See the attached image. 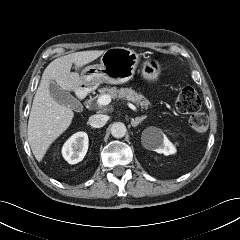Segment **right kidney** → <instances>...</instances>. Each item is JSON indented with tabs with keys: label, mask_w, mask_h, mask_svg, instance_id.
I'll use <instances>...</instances> for the list:
<instances>
[{
	"label": "right kidney",
	"mask_w": 240,
	"mask_h": 240,
	"mask_svg": "<svg viewBox=\"0 0 240 240\" xmlns=\"http://www.w3.org/2000/svg\"><path fill=\"white\" fill-rule=\"evenodd\" d=\"M88 135L85 132H77L63 145L62 154L70 164H76L83 160L88 150Z\"/></svg>",
	"instance_id": "ca27d5eb"
}]
</instances>
